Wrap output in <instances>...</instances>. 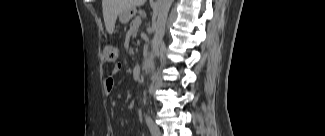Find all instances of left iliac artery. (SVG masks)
<instances>
[{"label":"left iliac artery","mask_w":325,"mask_h":136,"mask_svg":"<svg viewBox=\"0 0 325 136\" xmlns=\"http://www.w3.org/2000/svg\"><path fill=\"white\" fill-rule=\"evenodd\" d=\"M145 120L147 122V125H148L150 131L152 132L153 131V125H154V122H153L152 118L150 116L146 115Z\"/></svg>","instance_id":"44dca946"}]
</instances>
